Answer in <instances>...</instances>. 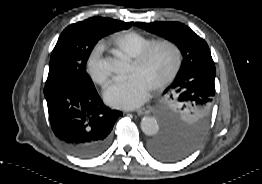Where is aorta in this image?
Masks as SVG:
<instances>
[{
    "label": "aorta",
    "mask_w": 262,
    "mask_h": 184,
    "mask_svg": "<svg viewBox=\"0 0 262 184\" xmlns=\"http://www.w3.org/2000/svg\"><path fill=\"white\" fill-rule=\"evenodd\" d=\"M123 68H125V65L121 64L120 66L114 67L113 71L122 72ZM141 129L145 135L153 136L159 131L158 121L152 116H145L141 120Z\"/></svg>",
    "instance_id": "1"
}]
</instances>
